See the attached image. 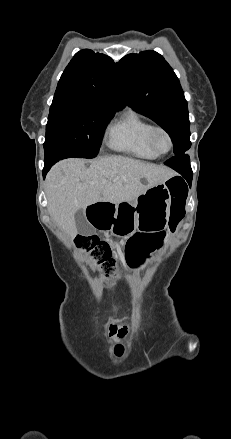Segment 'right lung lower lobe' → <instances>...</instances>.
I'll return each mask as SVG.
<instances>
[{
    "mask_svg": "<svg viewBox=\"0 0 231 439\" xmlns=\"http://www.w3.org/2000/svg\"><path fill=\"white\" fill-rule=\"evenodd\" d=\"M57 161H45V166L43 169V178H45L47 172L49 171V169L51 168V166Z\"/></svg>",
    "mask_w": 231,
    "mask_h": 439,
    "instance_id": "1",
    "label": "right lung lower lobe"
}]
</instances>
